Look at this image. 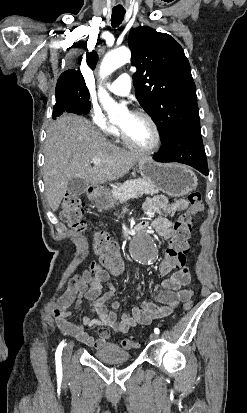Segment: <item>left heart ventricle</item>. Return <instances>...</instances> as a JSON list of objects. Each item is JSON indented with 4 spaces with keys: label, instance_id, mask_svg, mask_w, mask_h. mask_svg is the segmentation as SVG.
Instances as JSON below:
<instances>
[{
    "label": "left heart ventricle",
    "instance_id": "obj_1",
    "mask_svg": "<svg viewBox=\"0 0 247 413\" xmlns=\"http://www.w3.org/2000/svg\"><path fill=\"white\" fill-rule=\"evenodd\" d=\"M128 126L133 128H123V130L136 142L143 145H150L155 141V131L144 118L139 117L132 125Z\"/></svg>",
    "mask_w": 247,
    "mask_h": 413
}]
</instances>
